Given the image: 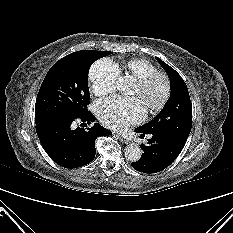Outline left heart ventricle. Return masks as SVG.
Masks as SVG:
<instances>
[{
    "label": "left heart ventricle",
    "instance_id": "b2bd125f",
    "mask_svg": "<svg viewBox=\"0 0 233 233\" xmlns=\"http://www.w3.org/2000/svg\"><path fill=\"white\" fill-rule=\"evenodd\" d=\"M164 93V83L161 79L154 80L145 90H141L137 84L134 85L132 94L139 97L144 106L155 104Z\"/></svg>",
    "mask_w": 233,
    "mask_h": 233
}]
</instances>
